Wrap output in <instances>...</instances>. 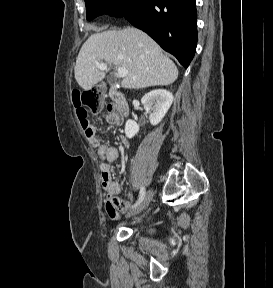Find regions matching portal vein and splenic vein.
Wrapping results in <instances>:
<instances>
[{"instance_id":"1","label":"portal vein and splenic vein","mask_w":273,"mask_h":288,"mask_svg":"<svg viewBox=\"0 0 273 288\" xmlns=\"http://www.w3.org/2000/svg\"><path fill=\"white\" fill-rule=\"evenodd\" d=\"M107 66H108V64L105 62H102V63H98V62H96V67L99 69V70H105V69H107ZM117 74H118V76L119 77H121V78H124V77H126L127 76V74H128V71H127V69L126 68H123V67H118V69H117Z\"/></svg>"}]
</instances>
